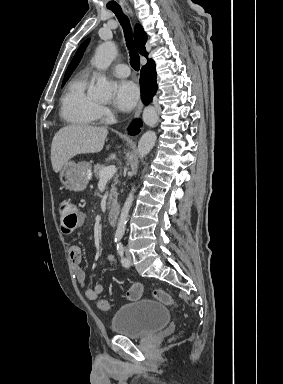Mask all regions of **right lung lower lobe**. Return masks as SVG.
I'll list each match as a JSON object with an SVG mask.
<instances>
[{
	"mask_svg": "<svg viewBox=\"0 0 283 384\" xmlns=\"http://www.w3.org/2000/svg\"><path fill=\"white\" fill-rule=\"evenodd\" d=\"M140 88L142 100L147 105L151 102L153 95L157 90L155 65L142 67L140 75ZM139 126H141L140 120L135 121L134 124H132L128 129L129 134L133 135L138 133Z\"/></svg>",
	"mask_w": 283,
	"mask_h": 384,
	"instance_id": "right-lung-lower-lobe-1",
	"label": "right lung lower lobe"
}]
</instances>
